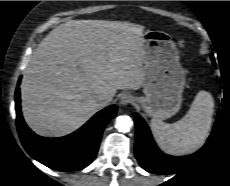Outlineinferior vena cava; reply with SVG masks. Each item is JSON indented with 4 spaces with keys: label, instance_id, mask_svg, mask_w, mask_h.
I'll use <instances>...</instances> for the list:
<instances>
[{
    "label": "inferior vena cava",
    "instance_id": "1",
    "mask_svg": "<svg viewBox=\"0 0 230 186\" xmlns=\"http://www.w3.org/2000/svg\"><path fill=\"white\" fill-rule=\"evenodd\" d=\"M98 101L102 106H106L111 101V98L108 96H99Z\"/></svg>",
    "mask_w": 230,
    "mask_h": 186
}]
</instances>
